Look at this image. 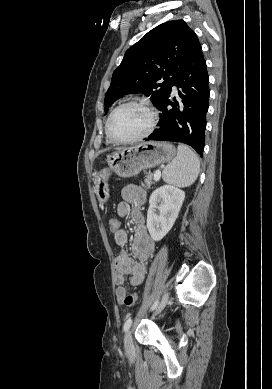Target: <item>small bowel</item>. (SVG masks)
<instances>
[{"instance_id":"obj_1","label":"small bowel","mask_w":272,"mask_h":389,"mask_svg":"<svg viewBox=\"0 0 272 389\" xmlns=\"http://www.w3.org/2000/svg\"><path fill=\"white\" fill-rule=\"evenodd\" d=\"M122 198L117 206V214L121 218H130L135 228L131 244V255L123 250L115 259L116 299L122 304L127 295L126 278L132 286L143 283L147 273V263L154 253V241L148 234L141 207L146 201V192L136 185H128L122 190ZM115 241L120 246L128 243V234L120 229L114 234Z\"/></svg>"}]
</instances>
